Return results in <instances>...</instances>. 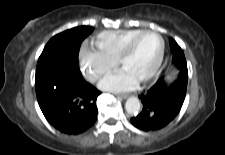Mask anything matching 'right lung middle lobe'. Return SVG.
<instances>
[{
  "instance_id": "right-lung-middle-lobe-1",
  "label": "right lung middle lobe",
  "mask_w": 225,
  "mask_h": 155,
  "mask_svg": "<svg viewBox=\"0 0 225 155\" xmlns=\"http://www.w3.org/2000/svg\"><path fill=\"white\" fill-rule=\"evenodd\" d=\"M92 31L89 26L75 27L51 38L38 59L35 84L64 64L78 65L80 45Z\"/></svg>"
}]
</instances>
